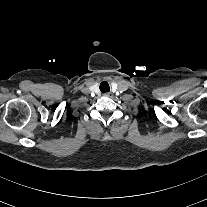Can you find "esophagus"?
I'll use <instances>...</instances> for the list:
<instances>
[{
	"label": "esophagus",
	"mask_w": 207,
	"mask_h": 207,
	"mask_svg": "<svg viewBox=\"0 0 207 207\" xmlns=\"http://www.w3.org/2000/svg\"><path fill=\"white\" fill-rule=\"evenodd\" d=\"M103 95L106 96V97H110L111 96V92H106Z\"/></svg>",
	"instance_id": "obj_1"
}]
</instances>
